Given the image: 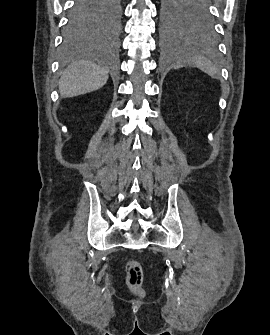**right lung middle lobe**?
Segmentation results:
<instances>
[{
  "instance_id": "right-lung-middle-lobe-1",
  "label": "right lung middle lobe",
  "mask_w": 270,
  "mask_h": 335,
  "mask_svg": "<svg viewBox=\"0 0 270 335\" xmlns=\"http://www.w3.org/2000/svg\"><path fill=\"white\" fill-rule=\"evenodd\" d=\"M121 8L122 0H75L68 13L65 43H76L100 24L116 27Z\"/></svg>"
}]
</instances>
